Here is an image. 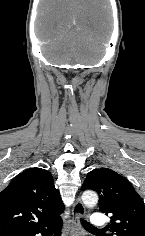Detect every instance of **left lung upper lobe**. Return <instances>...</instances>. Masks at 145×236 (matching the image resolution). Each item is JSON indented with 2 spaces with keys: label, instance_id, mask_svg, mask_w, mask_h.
Segmentation results:
<instances>
[{
  "label": "left lung upper lobe",
  "instance_id": "obj_1",
  "mask_svg": "<svg viewBox=\"0 0 145 236\" xmlns=\"http://www.w3.org/2000/svg\"><path fill=\"white\" fill-rule=\"evenodd\" d=\"M82 190L91 189L99 194V208L111 215L105 236H145V206L131 183L108 168L90 171Z\"/></svg>",
  "mask_w": 145,
  "mask_h": 236
}]
</instances>
